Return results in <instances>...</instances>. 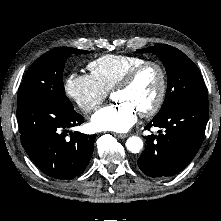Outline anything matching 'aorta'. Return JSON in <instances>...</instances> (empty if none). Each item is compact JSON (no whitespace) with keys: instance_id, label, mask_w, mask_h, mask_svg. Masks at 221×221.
<instances>
[{"instance_id":"1","label":"aorta","mask_w":221,"mask_h":221,"mask_svg":"<svg viewBox=\"0 0 221 221\" xmlns=\"http://www.w3.org/2000/svg\"><path fill=\"white\" fill-rule=\"evenodd\" d=\"M143 147V141L138 136H131L126 140V148L132 153H139Z\"/></svg>"}]
</instances>
